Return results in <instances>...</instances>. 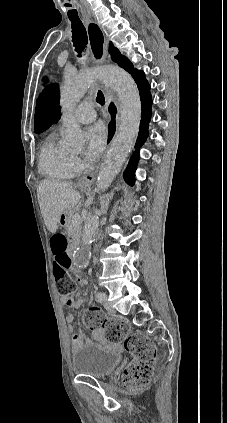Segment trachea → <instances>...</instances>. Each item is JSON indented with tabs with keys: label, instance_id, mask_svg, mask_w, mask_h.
Returning <instances> with one entry per match:
<instances>
[{
	"label": "trachea",
	"instance_id": "3493384b",
	"mask_svg": "<svg viewBox=\"0 0 227 423\" xmlns=\"http://www.w3.org/2000/svg\"><path fill=\"white\" fill-rule=\"evenodd\" d=\"M72 26V42L75 47V51L81 58L82 51L85 49L88 43V37L86 29L80 19L70 18ZM96 101L100 105H105V97L101 90H98Z\"/></svg>",
	"mask_w": 227,
	"mask_h": 423
}]
</instances>
